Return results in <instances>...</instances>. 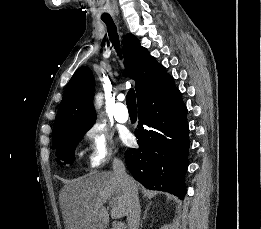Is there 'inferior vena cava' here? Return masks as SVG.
Instances as JSON below:
<instances>
[{"label": "inferior vena cava", "instance_id": "inferior-vena-cava-1", "mask_svg": "<svg viewBox=\"0 0 261 229\" xmlns=\"http://www.w3.org/2000/svg\"><path fill=\"white\" fill-rule=\"evenodd\" d=\"M112 169L113 173L120 177L121 185L129 199L127 227L128 229H139L141 209L136 185L133 179L127 175L123 161L113 159Z\"/></svg>", "mask_w": 261, "mask_h": 229}]
</instances>
